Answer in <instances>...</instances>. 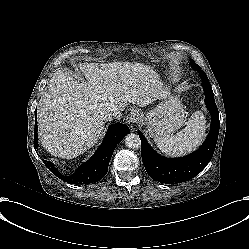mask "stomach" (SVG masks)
Here are the masks:
<instances>
[{"mask_svg":"<svg viewBox=\"0 0 249 249\" xmlns=\"http://www.w3.org/2000/svg\"><path fill=\"white\" fill-rule=\"evenodd\" d=\"M142 114V122L150 137L173 134L186 120L184 107L176 97H168L150 112Z\"/></svg>","mask_w":249,"mask_h":249,"instance_id":"1","label":"stomach"}]
</instances>
